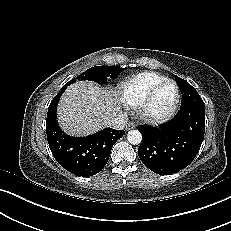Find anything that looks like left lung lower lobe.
<instances>
[{
  "instance_id": "0a47b994",
  "label": "left lung lower lobe",
  "mask_w": 231,
  "mask_h": 231,
  "mask_svg": "<svg viewBox=\"0 0 231 231\" xmlns=\"http://www.w3.org/2000/svg\"><path fill=\"white\" fill-rule=\"evenodd\" d=\"M204 103L181 106L175 117L160 125H139L143 136L138 155L157 174L170 175L186 168L200 150L205 132Z\"/></svg>"
}]
</instances>
